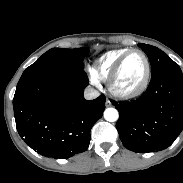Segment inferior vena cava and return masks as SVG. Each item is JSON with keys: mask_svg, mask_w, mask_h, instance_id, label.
<instances>
[{"mask_svg": "<svg viewBox=\"0 0 183 183\" xmlns=\"http://www.w3.org/2000/svg\"><path fill=\"white\" fill-rule=\"evenodd\" d=\"M99 95H100V93L92 87H87L84 91V98L87 100L95 99Z\"/></svg>", "mask_w": 183, "mask_h": 183, "instance_id": "obj_1", "label": "inferior vena cava"}]
</instances>
